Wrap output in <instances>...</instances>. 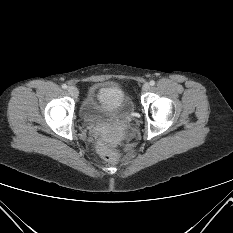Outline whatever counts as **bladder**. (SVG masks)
I'll list each match as a JSON object with an SVG mask.
<instances>
[{"label": "bladder", "mask_w": 233, "mask_h": 233, "mask_svg": "<svg viewBox=\"0 0 233 233\" xmlns=\"http://www.w3.org/2000/svg\"><path fill=\"white\" fill-rule=\"evenodd\" d=\"M134 109V102L127 89L118 82L106 81L89 87L79 113L87 120H103L130 114Z\"/></svg>", "instance_id": "31cf9c89"}]
</instances>
